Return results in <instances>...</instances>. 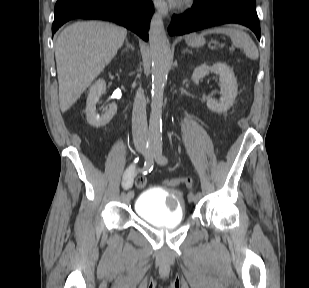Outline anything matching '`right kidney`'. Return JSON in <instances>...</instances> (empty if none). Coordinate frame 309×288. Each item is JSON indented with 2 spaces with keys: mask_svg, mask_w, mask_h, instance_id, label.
Here are the masks:
<instances>
[{
  "mask_svg": "<svg viewBox=\"0 0 309 288\" xmlns=\"http://www.w3.org/2000/svg\"><path fill=\"white\" fill-rule=\"evenodd\" d=\"M106 91V83L103 79L97 80L90 88L86 102V118L90 125L99 128L110 122L117 112V105L112 103L109 110L102 116L96 113V104L101 95Z\"/></svg>",
  "mask_w": 309,
  "mask_h": 288,
  "instance_id": "obj_1",
  "label": "right kidney"
}]
</instances>
